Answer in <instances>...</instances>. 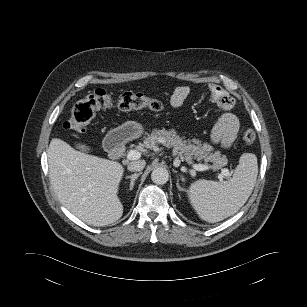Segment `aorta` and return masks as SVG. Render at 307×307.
I'll use <instances>...</instances> for the list:
<instances>
[{
    "mask_svg": "<svg viewBox=\"0 0 307 307\" xmlns=\"http://www.w3.org/2000/svg\"><path fill=\"white\" fill-rule=\"evenodd\" d=\"M152 181L157 185L165 184L169 179V173L166 168L158 167L151 173Z\"/></svg>",
    "mask_w": 307,
    "mask_h": 307,
    "instance_id": "aorta-1",
    "label": "aorta"
}]
</instances>
